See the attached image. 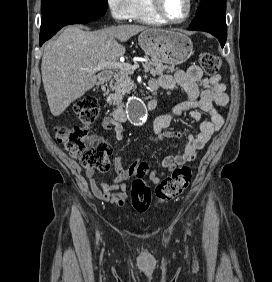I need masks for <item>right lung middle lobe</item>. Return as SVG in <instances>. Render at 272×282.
<instances>
[{
    "instance_id": "dd1d6c3e",
    "label": "right lung middle lobe",
    "mask_w": 272,
    "mask_h": 282,
    "mask_svg": "<svg viewBox=\"0 0 272 282\" xmlns=\"http://www.w3.org/2000/svg\"><path fill=\"white\" fill-rule=\"evenodd\" d=\"M74 6H95L108 8L107 0H42V15L60 8Z\"/></svg>"
}]
</instances>
